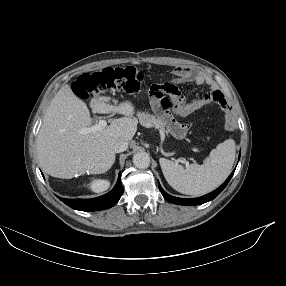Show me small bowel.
Here are the masks:
<instances>
[{
    "label": "small bowel",
    "mask_w": 286,
    "mask_h": 286,
    "mask_svg": "<svg viewBox=\"0 0 286 286\" xmlns=\"http://www.w3.org/2000/svg\"><path fill=\"white\" fill-rule=\"evenodd\" d=\"M173 73L176 76L174 80L175 84L192 82L197 85L208 84L213 86L211 80L203 71L195 70L188 66H178L174 69ZM177 91V95L173 97L175 101V113L181 117H187L210 103H216L224 109L228 107L224 95L214 87L210 92L190 102H185L178 88Z\"/></svg>",
    "instance_id": "obj_1"
}]
</instances>
